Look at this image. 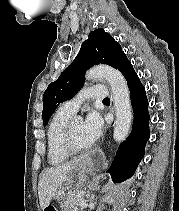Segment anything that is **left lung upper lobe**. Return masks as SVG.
Masks as SVG:
<instances>
[{
  "label": "left lung upper lobe",
  "instance_id": "5c2ea615",
  "mask_svg": "<svg viewBox=\"0 0 179 211\" xmlns=\"http://www.w3.org/2000/svg\"><path fill=\"white\" fill-rule=\"evenodd\" d=\"M125 57L120 44L109 33L103 29L90 32L89 38L82 44L72 64L44 92L43 124L46 125L60 103L77 94L84 84V73L87 69L97 64L118 68Z\"/></svg>",
  "mask_w": 179,
  "mask_h": 211
}]
</instances>
